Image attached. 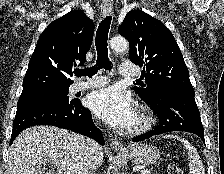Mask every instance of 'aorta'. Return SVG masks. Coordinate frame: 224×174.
<instances>
[{
	"label": "aorta",
	"instance_id": "762f6f07",
	"mask_svg": "<svg viewBox=\"0 0 224 174\" xmlns=\"http://www.w3.org/2000/svg\"><path fill=\"white\" fill-rule=\"evenodd\" d=\"M110 47L115 52H123L128 48V42L123 37H114L110 41ZM119 174V173H118Z\"/></svg>",
	"mask_w": 224,
	"mask_h": 174
}]
</instances>
